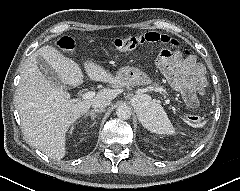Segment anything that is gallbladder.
I'll list each match as a JSON object with an SVG mask.
<instances>
[{"mask_svg": "<svg viewBox=\"0 0 240 191\" xmlns=\"http://www.w3.org/2000/svg\"><path fill=\"white\" fill-rule=\"evenodd\" d=\"M36 60L41 73L44 75L46 79H48L57 86L63 87V89L66 88L65 85L60 81L54 69H52V67L42 57H37Z\"/></svg>", "mask_w": 240, "mask_h": 191, "instance_id": "bac80fb5", "label": "gallbladder"}]
</instances>
